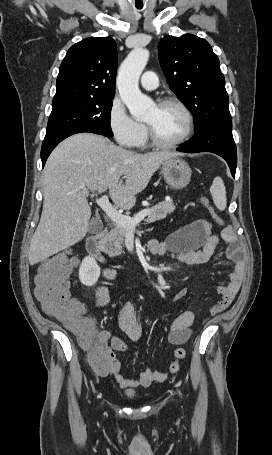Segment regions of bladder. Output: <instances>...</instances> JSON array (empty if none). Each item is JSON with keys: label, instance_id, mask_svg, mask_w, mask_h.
<instances>
[{"label": "bladder", "instance_id": "bladder-1", "mask_svg": "<svg viewBox=\"0 0 272 455\" xmlns=\"http://www.w3.org/2000/svg\"><path fill=\"white\" fill-rule=\"evenodd\" d=\"M127 394L130 395V396H133L135 394V392L133 390H128Z\"/></svg>", "mask_w": 272, "mask_h": 455}]
</instances>
